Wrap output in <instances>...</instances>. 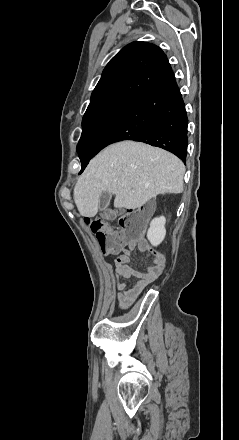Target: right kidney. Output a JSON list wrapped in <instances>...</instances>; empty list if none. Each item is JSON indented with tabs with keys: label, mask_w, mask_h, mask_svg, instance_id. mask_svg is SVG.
I'll return each instance as SVG.
<instances>
[{
	"label": "right kidney",
	"mask_w": 239,
	"mask_h": 440,
	"mask_svg": "<svg viewBox=\"0 0 239 440\" xmlns=\"http://www.w3.org/2000/svg\"><path fill=\"white\" fill-rule=\"evenodd\" d=\"M165 222L166 218H164V216L154 218V220L150 222V228L147 232L148 240H151V242H163L166 236Z\"/></svg>",
	"instance_id": "1"
}]
</instances>
